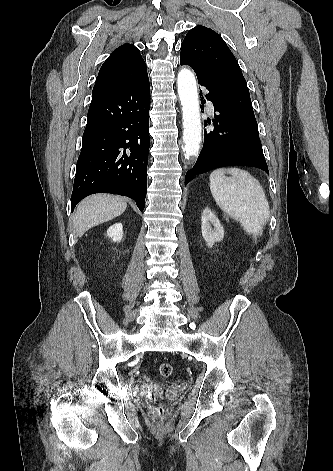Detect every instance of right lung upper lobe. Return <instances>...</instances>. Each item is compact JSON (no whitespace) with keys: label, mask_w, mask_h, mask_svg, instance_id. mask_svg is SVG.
Instances as JSON below:
<instances>
[{"label":"right lung upper lobe","mask_w":333,"mask_h":471,"mask_svg":"<svg viewBox=\"0 0 333 471\" xmlns=\"http://www.w3.org/2000/svg\"><path fill=\"white\" fill-rule=\"evenodd\" d=\"M147 75L146 63L139 49L124 44L103 63L92 92V101L125 91Z\"/></svg>","instance_id":"cb5924a9"}]
</instances>
